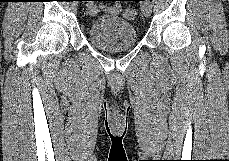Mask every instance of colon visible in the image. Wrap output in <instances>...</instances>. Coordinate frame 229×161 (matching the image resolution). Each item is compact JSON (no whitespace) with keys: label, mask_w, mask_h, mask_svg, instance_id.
Instances as JSON below:
<instances>
[{"label":"colon","mask_w":229,"mask_h":161,"mask_svg":"<svg viewBox=\"0 0 229 161\" xmlns=\"http://www.w3.org/2000/svg\"><path fill=\"white\" fill-rule=\"evenodd\" d=\"M136 15H137V11L135 8H132V7H127L122 12V16L128 20L134 19Z\"/></svg>","instance_id":"colon-1"}]
</instances>
